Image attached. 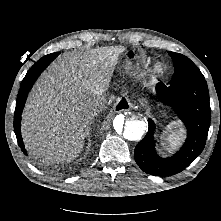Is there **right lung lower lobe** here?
I'll return each instance as SVG.
<instances>
[{
	"mask_svg": "<svg viewBox=\"0 0 221 221\" xmlns=\"http://www.w3.org/2000/svg\"><path fill=\"white\" fill-rule=\"evenodd\" d=\"M58 55H59V52H56V53L46 55L42 57L40 60H38L27 72L26 76L22 80V83L19 89V93H18L17 101H16L15 114H14V131L17 137L18 145L21 148V150L24 152V154L26 155H27V152L24 148V144H23V140H22L21 132H20V121H21L22 110H23L25 101L27 99L28 92L31 89L32 85L34 84L38 76L42 73V71Z\"/></svg>",
	"mask_w": 221,
	"mask_h": 221,
	"instance_id": "obj_1",
	"label": "right lung lower lobe"
}]
</instances>
